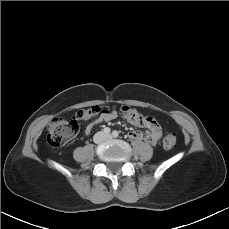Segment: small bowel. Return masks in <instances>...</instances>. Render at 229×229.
<instances>
[{
    "instance_id": "small-bowel-1",
    "label": "small bowel",
    "mask_w": 229,
    "mask_h": 229,
    "mask_svg": "<svg viewBox=\"0 0 229 229\" xmlns=\"http://www.w3.org/2000/svg\"><path fill=\"white\" fill-rule=\"evenodd\" d=\"M116 115L117 114L115 111H104V112H102L94 122H92L91 124H89L86 127L85 134L89 135L91 133V131L93 130V127L95 124L102 123V122H109V121L115 119ZM144 125L148 129V132L143 133L141 131H132L129 133V136L132 139H140V140H144L150 144H155L157 142L159 136H160V133H161V129H160L158 122L156 121L155 118L148 116V117H146Z\"/></svg>"
}]
</instances>
